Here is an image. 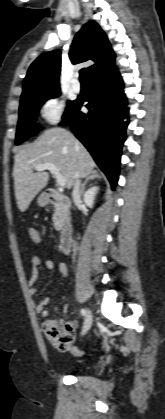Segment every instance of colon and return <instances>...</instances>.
<instances>
[{
    "label": "colon",
    "mask_w": 165,
    "mask_h": 419,
    "mask_svg": "<svg viewBox=\"0 0 165 419\" xmlns=\"http://www.w3.org/2000/svg\"><path fill=\"white\" fill-rule=\"evenodd\" d=\"M28 234L31 241H40V234L36 228H29ZM41 330L45 337L55 345H64L70 342L73 336L69 325L62 324L56 320H45L41 324Z\"/></svg>",
    "instance_id": "colon-1"
}]
</instances>
